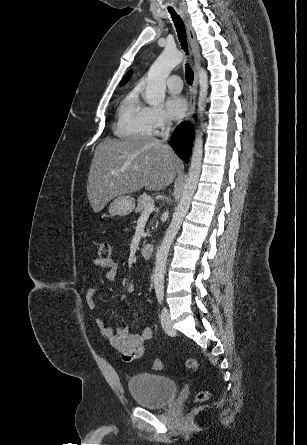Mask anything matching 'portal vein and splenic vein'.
<instances>
[{"instance_id":"1","label":"portal vein and splenic vein","mask_w":307,"mask_h":445,"mask_svg":"<svg viewBox=\"0 0 307 445\" xmlns=\"http://www.w3.org/2000/svg\"><path fill=\"white\" fill-rule=\"evenodd\" d=\"M121 170H110V174H120ZM154 202H149V204H146L141 216H145V214H150L152 210H154Z\"/></svg>"}]
</instances>
